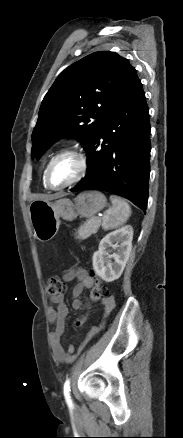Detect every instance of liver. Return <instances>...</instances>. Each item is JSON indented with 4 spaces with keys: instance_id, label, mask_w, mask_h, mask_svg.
I'll return each instance as SVG.
<instances>
[{
    "instance_id": "1",
    "label": "liver",
    "mask_w": 183,
    "mask_h": 438,
    "mask_svg": "<svg viewBox=\"0 0 183 438\" xmlns=\"http://www.w3.org/2000/svg\"><path fill=\"white\" fill-rule=\"evenodd\" d=\"M65 196L64 193H56V194H51V195H38L35 197L36 199H42V200H54V199H58L60 197Z\"/></svg>"
}]
</instances>
